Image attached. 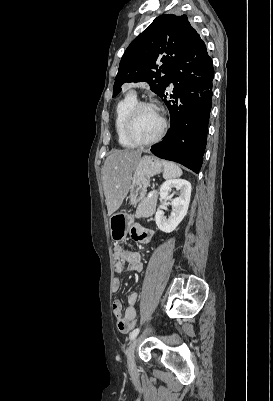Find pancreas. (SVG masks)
Segmentation results:
<instances>
[{"mask_svg": "<svg viewBox=\"0 0 273 401\" xmlns=\"http://www.w3.org/2000/svg\"><path fill=\"white\" fill-rule=\"evenodd\" d=\"M158 198V192L152 193V198H143V201L139 203L135 215V219H141V217H152L156 211V203Z\"/></svg>", "mask_w": 273, "mask_h": 401, "instance_id": "cf45deb5", "label": "pancreas"}]
</instances>
